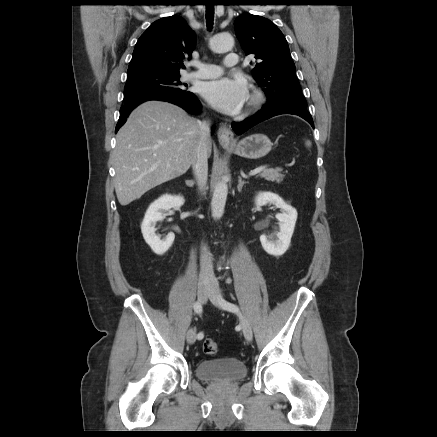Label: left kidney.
Instances as JSON below:
<instances>
[{
	"label": "left kidney",
	"instance_id": "left-kidney-1",
	"mask_svg": "<svg viewBox=\"0 0 437 437\" xmlns=\"http://www.w3.org/2000/svg\"><path fill=\"white\" fill-rule=\"evenodd\" d=\"M255 204L258 207L266 204H273L280 208L281 213L276 215L279 221V232L274 235L260 236V242L263 249L270 255L281 256L289 248L291 237L294 232L295 223L297 220V211L292 206L288 205L284 200L272 192H259L255 198Z\"/></svg>",
	"mask_w": 437,
	"mask_h": 437
}]
</instances>
